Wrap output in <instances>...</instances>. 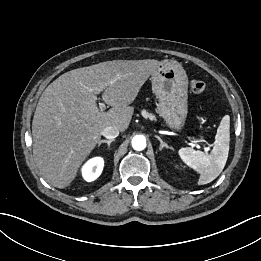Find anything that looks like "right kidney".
Segmentation results:
<instances>
[{
    "label": "right kidney",
    "instance_id": "ca27d5eb",
    "mask_svg": "<svg viewBox=\"0 0 261 261\" xmlns=\"http://www.w3.org/2000/svg\"><path fill=\"white\" fill-rule=\"evenodd\" d=\"M104 160L101 157H94L88 160L82 167V176L87 182L96 180L102 173Z\"/></svg>",
    "mask_w": 261,
    "mask_h": 261
}]
</instances>
